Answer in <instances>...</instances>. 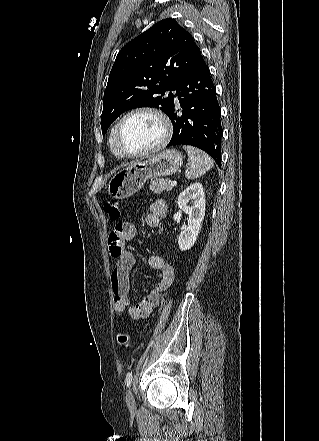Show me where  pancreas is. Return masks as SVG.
<instances>
[{"label": "pancreas", "mask_w": 319, "mask_h": 441, "mask_svg": "<svg viewBox=\"0 0 319 441\" xmlns=\"http://www.w3.org/2000/svg\"><path fill=\"white\" fill-rule=\"evenodd\" d=\"M151 190L160 194L162 192H167L173 189V186L170 185V182L166 178L156 179L151 181L150 185Z\"/></svg>", "instance_id": "obj_1"}]
</instances>
